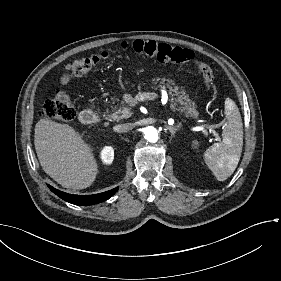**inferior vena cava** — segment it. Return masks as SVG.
<instances>
[{
    "mask_svg": "<svg viewBox=\"0 0 281 281\" xmlns=\"http://www.w3.org/2000/svg\"><path fill=\"white\" fill-rule=\"evenodd\" d=\"M123 130L128 131V127H124Z\"/></svg>",
    "mask_w": 281,
    "mask_h": 281,
    "instance_id": "602c4592",
    "label": "inferior vena cava"
}]
</instances>
